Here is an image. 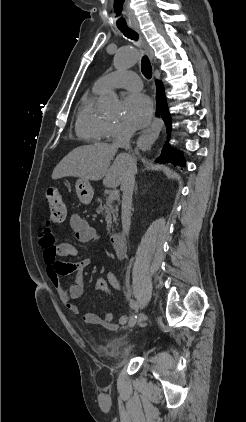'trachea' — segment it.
Instances as JSON below:
<instances>
[{"label":"trachea","instance_id":"1","mask_svg":"<svg viewBox=\"0 0 246 422\" xmlns=\"http://www.w3.org/2000/svg\"><path fill=\"white\" fill-rule=\"evenodd\" d=\"M119 5L122 6V2H119ZM119 30L124 34V36H126L127 38H130L131 40L137 41L139 38L138 34L132 29H130L129 27H119ZM141 71L147 79L151 78L152 67L146 55L143 56L141 60Z\"/></svg>","mask_w":246,"mask_h":422}]
</instances>
